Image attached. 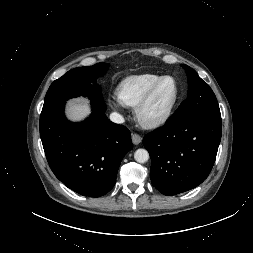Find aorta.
<instances>
[{
	"label": "aorta",
	"mask_w": 253,
	"mask_h": 253,
	"mask_svg": "<svg viewBox=\"0 0 253 253\" xmlns=\"http://www.w3.org/2000/svg\"><path fill=\"white\" fill-rule=\"evenodd\" d=\"M134 159L138 163H145L149 159V153L146 149H137L134 153Z\"/></svg>",
	"instance_id": "1"
}]
</instances>
